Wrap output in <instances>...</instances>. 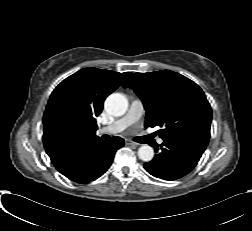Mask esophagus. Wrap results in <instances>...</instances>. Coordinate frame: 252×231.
<instances>
[{
    "label": "esophagus",
    "mask_w": 252,
    "mask_h": 231,
    "mask_svg": "<svg viewBox=\"0 0 252 231\" xmlns=\"http://www.w3.org/2000/svg\"><path fill=\"white\" fill-rule=\"evenodd\" d=\"M125 142H126L127 145H130V146H135L136 147V146L139 145L138 143H136V142H134V141H132L130 139H126Z\"/></svg>",
    "instance_id": "obj_1"
}]
</instances>
